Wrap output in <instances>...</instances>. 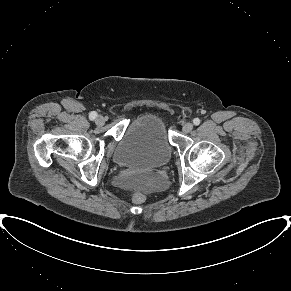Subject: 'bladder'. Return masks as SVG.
I'll list each match as a JSON object with an SVG mask.
<instances>
[{
    "mask_svg": "<svg viewBox=\"0 0 291 291\" xmlns=\"http://www.w3.org/2000/svg\"><path fill=\"white\" fill-rule=\"evenodd\" d=\"M172 156L163 121L145 114L131 122L118 141L113 160L122 167L155 169L168 164Z\"/></svg>",
    "mask_w": 291,
    "mask_h": 291,
    "instance_id": "1",
    "label": "bladder"
}]
</instances>
